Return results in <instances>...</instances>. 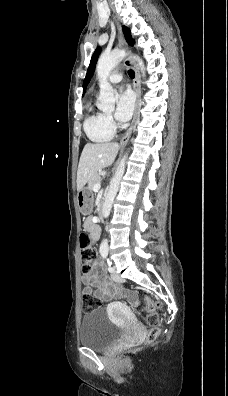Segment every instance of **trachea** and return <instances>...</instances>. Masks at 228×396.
<instances>
[{"label": "trachea", "instance_id": "3493384b", "mask_svg": "<svg viewBox=\"0 0 228 396\" xmlns=\"http://www.w3.org/2000/svg\"><path fill=\"white\" fill-rule=\"evenodd\" d=\"M128 75H129V77L130 78H134V76H135V73H134V71L133 70H128Z\"/></svg>", "mask_w": 228, "mask_h": 396}]
</instances>
